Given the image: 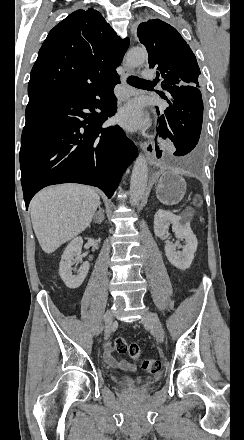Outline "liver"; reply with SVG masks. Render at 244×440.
Returning a JSON list of instances; mask_svg holds the SVG:
<instances>
[{
    "label": "liver",
    "mask_w": 244,
    "mask_h": 440,
    "mask_svg": "<svg viewBox=\"0 0 244 440\" xmlns=\"http://www.w3.org/2000/svg\"><path fill=\"white\" fill-rule=\"evenodd\" d=\"M94 188L80 184L49 186L31 202V222L45 254H52L62 244L84 232L99 206Z\"/></svg>",
    "instance_id": "6515ba94"
}]
</instances>
